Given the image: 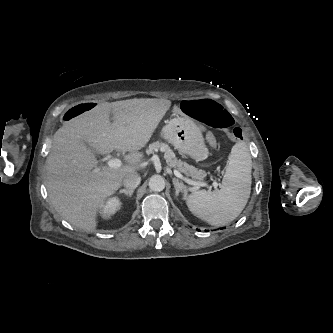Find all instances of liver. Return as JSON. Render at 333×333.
<instances>
[{"instance_id": "1", "label": "liver", "mask_w": 333, "mask_h": 333, "mask_svg": "<svg viewBox=\"0 0 333 333\" xmlns=\"http://www.w3.org/2000/svg\"><path fill=\"white\" fill-rule=\"evenodd\" d=\"M170 106L166 99L103 102L65 122L53 136L46 161V188L54 209L71 225L93 232L99 208L120 188L126 175L139 169L143 159L139 150ZM114 150L129 152L126 164L95 169L94 153Z\"/></svg>"}]
</instances>
